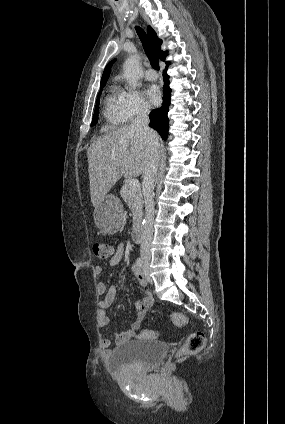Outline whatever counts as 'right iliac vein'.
I'll return each mask as SVG.
<instances>
[{"instance_id":"1","label":"right iliac vein","mask_w":285,"mask_h":424,"mask_svg":"<svg viewBox=\"0 0 285 424\" xmlns=\"http://www.w3.org/2000/svg\"><path fill=\"white\" fill-rule=\"evenodd\" d=\"M143 261H144V273L147 275L148 274V266H149V263H150V258L145 256L143 258Z\"/></svg>"}]
</instances>
